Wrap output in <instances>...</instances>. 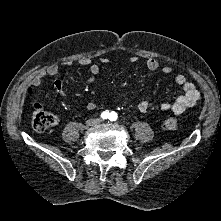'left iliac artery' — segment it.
<instances>
[{
	"mask_svg": "<svg viewBox=\"0 0 221 221\" xmlns=\"http://www.w3.org/2000/svg\"><path fill=\"white\" fill-rule=\"evenodd\" d=\"M117 113L116 112H111L109 115L110 121H116L117 120Z\"/></svg>",
	"mask_w": 221,
	"mask_h": 221,
	"instance_id": "obj_1",
	"label": "left iliac artery"
}]
</instances>
